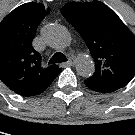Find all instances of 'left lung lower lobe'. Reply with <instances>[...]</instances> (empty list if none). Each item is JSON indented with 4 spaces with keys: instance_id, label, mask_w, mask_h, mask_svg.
<instances>
[{
    "instance_id": "1",
    "label": "left lung lower lobe",
    "mask_w": 135,
    "mask_h": 135,
    "mask_svg": "<svg viewBox=\"0 0 135 135\" xmlns=\"http://www.w3.org/2000/svg\"><path fill=\"white\" fill-rule=\"evenodd\" d=\"M84 83H85V85H86L89 89H91V90H93V91H95V92H99V93H110V91L105 90V89H102V88L97 87V86H95V85H92V84H90V83H88V82H86V81H84Z\"/></svg>"
}]
</instances>
